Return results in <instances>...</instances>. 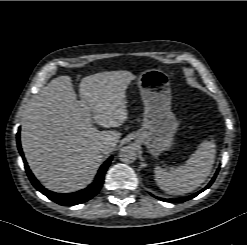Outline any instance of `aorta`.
<instances>
[{
  "label": "aorta",
  "mask_w": 247,
  "mask_h": 245,
  "mask_svg": "<svg viewBox=\"0 0 247 245\" xmlns=\"http://www.w3.org/2000/svg\"><path fill=\"white\" fill-rule=\"evenodd\" d=\"M137 158V153L134 147L125 146L120 149L119 159L124 163H133Z\"/></svg>",
  "instance_id": "aorta-1"
}]
</instances>
